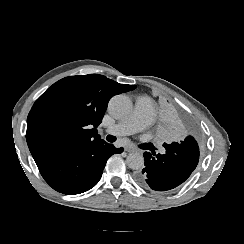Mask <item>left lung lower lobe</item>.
Masks as SVG:
<instances>
[{
    "label": "left lung lower lobe",
    "mask_w": 244,
    "mask_h": 244,
    "mask_svg": "<svg viewBox=\"0 0 244 244\" xmlns=\"http://www.w3.org/2000/svg\"><path fill=\"white\" fill-rule=\"evenodd\" d=\"M164 154L144 152L145 168L138 171L135 179L142 187L157 191L173 189L183 183L199 161V145L193 136L184 140L164 143Z\"/></svg>",
    "instance_id": "obj_1"
}]
</instances>
